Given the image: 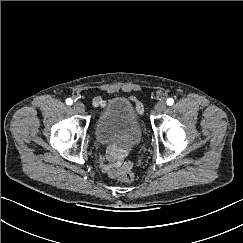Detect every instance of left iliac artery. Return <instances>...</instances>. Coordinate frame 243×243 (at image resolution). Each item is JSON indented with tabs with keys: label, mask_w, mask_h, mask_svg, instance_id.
I'll return each instance as SVG.
<instances>
[{
	"label": "left iliac artery",
	"mask_w": 243,
	"mask_h": 243,
	"mask_svg": "<svg viewBox=\"0 0 243 243\" xmlns=\"http://www.w3.org/2000/svg\"><path fill=\"white\" fill-rule=\"evenodd\" d=\"M167 105L171 106L174 103V100L172 98H168L166 101Z\"/></svg>",
	"instance_id": "1"
}]
</instances>
